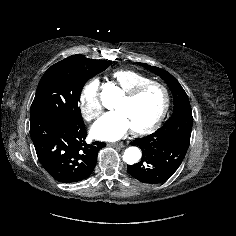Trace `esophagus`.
Listing matches in <instances>:
<instances>
[{
  "label": "esophagus",
  "instance_id": "obj_1",
  "mask_svg": "<svg viewBox=\"0 0 236 236\" xmlns=\"http://www.w3.org/2000/svg\"><path fill=\"white\" fill-rule=\"evenodd\" d=\"M109 146H113V147H124V144L122 142H115V143H109Z\"/></svg>",
  "mask_w": 236,
  "mask_h": 236
}]
</instances>
